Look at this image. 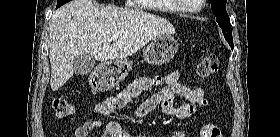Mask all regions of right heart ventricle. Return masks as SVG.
Wrapping results in <instances>:
<instances>
[{"label":"right heart ventricle","instance_id":"1","mask_svg":"<svg viewBox=\"0 0 280 137\" xmlns=\"http://www.w3.org/2000/svg\"><path fill=\"white\" fill-rule=\"evenodd\" d=\"M165 9L167 10L166 13H169V14H175V13L179 12L178 9L173 6H166Z\"/></svg>","mask_w":280,"mask_h":137}]
</instances>
